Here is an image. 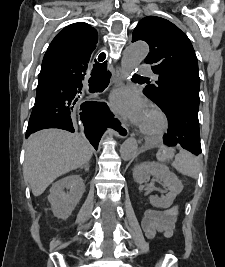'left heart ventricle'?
<instances>
[{
	"mask_svg": "<svg viewBox=\"0 0 225 267\" xmlns=\"http://www.w3.org/2000/svg\"><path fill=\"white\" fill-rule=\"evenodd\" d=\"M157 126H158L157 119L153 115L148 113L144 120L142 127L146 129H153V128H156Z\"/></svg>",
	"mask_w": 225,
	"mask_h": 267,
	"instance_id": "1",
	"label": "left heart ventricle"
}]
</instances>
